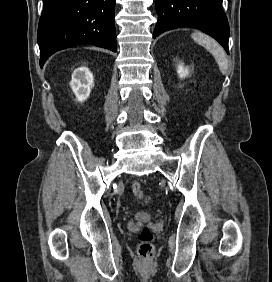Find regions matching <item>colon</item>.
<instances>
[{
  "label": "colon",
  "mask_w": 272,
  "mask_h": 282,
  "mask_svg": "<svg viewBox=\"0 0 272 282\" xmlns=\"http://www.w3.org/2000/svg\"><path fill=\"white\" fill-rule=\"evenodd\" d=\"M131 190L138 199L145 198L141 189V185L138 182L134 181L132 183ZM138 239V252L142 261H150L153 256L152 233L147 228H143L139 232Z\"/></svg>",
  "instance_id": "1"
}]
</instances>
